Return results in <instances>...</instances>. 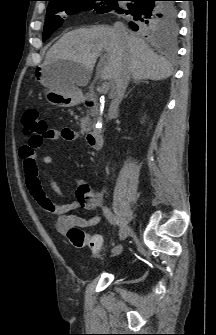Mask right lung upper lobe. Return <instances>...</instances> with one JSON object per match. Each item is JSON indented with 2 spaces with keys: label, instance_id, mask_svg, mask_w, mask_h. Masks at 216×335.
Returning <instances> with one entry per match:
<instances>
[{
  "label": "right lung upper lobe",
  "instance_id": "right-lung-upper-lobe-1",
  "mask_svg": "<svg viewBox=\"0 0 216 335\" xmlns=\"http://www.w3.org/2000/svg\"><path fill=\"white\" fill-rule=\"evenodd\" d=\"M49 1V4L52 3V2H55V1H61V0H47Z\"/></svg>",
  "mask_w": 216,
  "mask_h": 335
}]
</instances>
